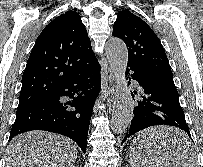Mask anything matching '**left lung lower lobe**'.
I'll return each mask as SVG.
<instances>
[{
    "label": "left lung lower lobe",
    "mask_w": 203,
    "mask_h": 167,
    "mask_svg": "<svg viewBox=\"0 0 203 167\" xmlns=\"http://www.w3.org/2000/svg\"><path fill=\"white\" fill-rule=\"evenodd\" d=\"M127 73L131 76L129 80L137 81L140 89L131 92L133 99L136 97L134 117L122 143L134 133L154 125L178 127L191 138L175 85L163 83L139 68L128 67ZM178 146L191 152L186 142Z\"/></svg>",
    "instance_id": "0a47b994"
}]
</instances>
